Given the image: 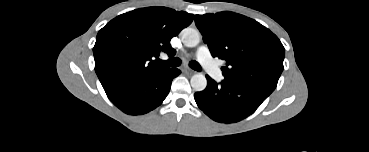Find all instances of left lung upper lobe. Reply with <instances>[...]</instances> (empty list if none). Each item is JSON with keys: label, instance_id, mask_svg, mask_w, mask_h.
Masks as SVG:
<instances>
[{"label": "left lung upper lobe", "instance_id": "5c2ea615", "mask_svg": "<svg viewBox=\"0 0 369 152\" xmlns=\"http://www.w3.org/2000/svg\"><path fill=\"white\" fill-rule=\"evenodd\" d=\"M195 24L213 57L226 61L225 82L272 93L283 71L285 49L269 29L233 12L196 15Z\"/></svg>", "mask_w": 369, "mask_h": 152}]
</instances>
